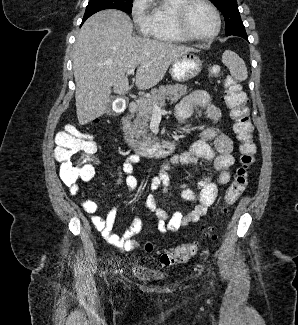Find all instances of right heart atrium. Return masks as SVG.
<instances>
[{
    "label": "right heart atrium",
    "mask_w": 298,
    "mask_h": 325,
    "mask_svg": "<svg viewBox=\"0 0 298 325\" xmlns=\"http://www.w3.org/2000/svg\"><path fill=\"white\" fill-rule=\"evenodd\" d=\"M132 22L137 25V32L141 37H158L155 25L151 22L150 5L147 0H135L131 8Z\"/></svg>",
    "instance_id": "right-heart-atrium-1"
}]
</instances>
